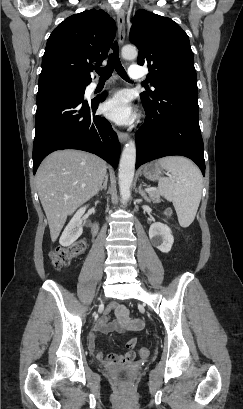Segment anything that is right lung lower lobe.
Instances as JSON below:
<instances>
[{"mask_svg":"<svg viewBox=\"0 0 243 409\" xmlns=\"http://www.w3.org/2000/svg\"><path fill=\"white\" fill-rule=\"evenodd\" d=\"M83 94H54L37 99L33 174L51 152L79 149L94 153L117 168L120 144L105 118L96 115L100 101L83 100Z\"/></svg>","mask_w":243,"mask_h":409,"instance_id":"1","label":"right lung lower lobe"}]
</instances>
